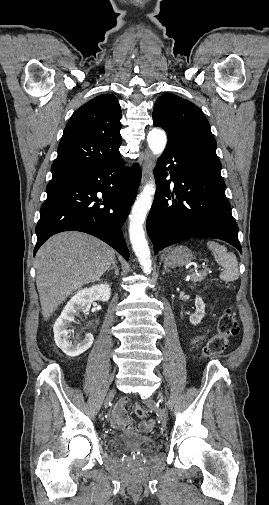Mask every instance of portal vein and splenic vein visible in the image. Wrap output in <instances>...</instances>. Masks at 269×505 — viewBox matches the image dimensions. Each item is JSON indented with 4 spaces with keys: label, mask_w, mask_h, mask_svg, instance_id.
Wrapping results in <instances>:
<instances>
[{
    "label": "portal vein and splenic vein",
    "mask_w": 269,
    "mask_h": 505,
    "mask_svg": "<svg viewBox=\"0 0 269 505\" xmlns=\"http://www.w3.org/2000/svg\"><path fill=\"white\" fill-rule=\"evenodd\" d=\"M193 271H197V267L193 268V269H190L189 272H193Z\"/></svg>",
    "instance_id": "18ae733b"
}]
</instances>
